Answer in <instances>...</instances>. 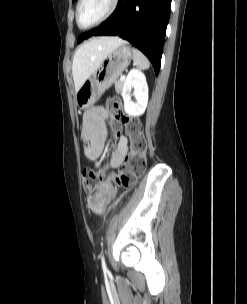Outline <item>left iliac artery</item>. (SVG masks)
<instances>
[{
	"label": "left iliac artery",
	"instance_id": "obj_1",
	"mask_svg": "<svg viewBox=\"0 0 247 304\" xmlns=\"http://www.w3.org/2000/svg\"><path fill=\"white\" fill-rule=\"evenodd\" d=\"M101 261H102V268H103L104 272H107V267H106L104 255H102Z\"/></svg>",
	"mask_w": 247,
	"mask_h": 304
}]
</instances>
